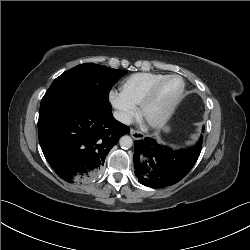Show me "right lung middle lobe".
Segmentation results:
<instances>
[{
  "label": "right lung middle lobe",
  "instance_id": "obj_1",
  "mask_svg": "<svg viewBox=\"0 0 250 250\" xmlns=\"http://www.w3.org/2000/svg\"><path fill=\"white\" fill-rule=\"evenodd\" d=\"M126 73V70L112 69L97 64L78 65L53 81L41 100L39 112L76 94H88L108 99L113 84Z\"/></svg>",
  "mask_w": 250,
  "mask_h": 250
}]
</instances>
